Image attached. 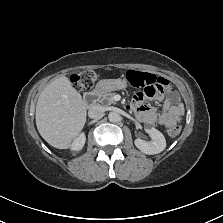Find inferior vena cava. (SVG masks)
Wrapping results in <instances>:
<instances>
[{"label": "inferior vena cava", "instance_id": "inferior-vena-cava-1", "mask_svg": "<svg viewBox=\"0 0 223 223\" xmlns=\"http://www.w3.org/2000/svg\"><path fill=\"white\" fill-rule=\"evenodd\" d=\"M104 112V107L100 104L93 105L89 108L88 115L90 118H98Z\"/></svg>", "mask_w": 223, "mask_h": 223}]
</instances>
